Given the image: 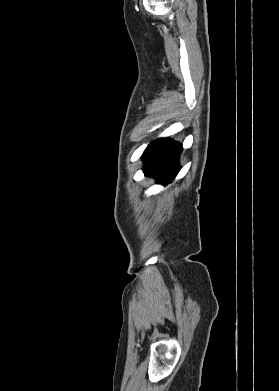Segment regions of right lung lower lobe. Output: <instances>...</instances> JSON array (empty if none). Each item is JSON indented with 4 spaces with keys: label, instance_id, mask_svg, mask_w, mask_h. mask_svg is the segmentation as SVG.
<instances>
[{
    "label": "right lung lower lobe",
    "instance_id": "right-lung-lower-lobe-1",
    "mask_svg": "<svg viewBox=\"0 0 279 391\" xmlns=\"http://www.w3.org/2000/svg\"><path fill=\"white\" fill-rule=\"evenodd\" d=\"M181 152L182 145L170 139L153 141L142 157L145 175L154 176L163 185L170 183L180 170L178 162Z\"/></svg>",
    "mask_w": 279,
    "mask_h": 391
}]
</instances>
